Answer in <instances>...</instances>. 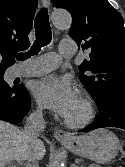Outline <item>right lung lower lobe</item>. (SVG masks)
I'll use <instances>...</instances> for the list:
<instances>
[{
  "instance_id": "right-lung-lower-lobe-1",
  "label": "right lung lower lobe",
  "mask_w": 125,
  "mask_h": 167,
  "mask_svg": "<svg viewBox=\"0 0 125 167\" xmlns=\"http://www.w3.org/2000/svg\"><path fill=\"white\" fill-rule=\"evenodd\" d=\"M30 96L22 84L10 89L0 86V120L19 123L29 112Z\"/></svg>"
}]
</instances>
